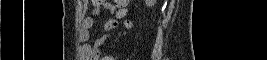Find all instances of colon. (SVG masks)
I'll list each match as a JSON object with an SVG mask.
<instances>
[{"label": "colon", "mask_w": 267, "mask_h": 60, "mask_svg": "<svg viewBox=\"0 0 267 60\" xmlns=\"http://www.w3.org/2000/svg\"><path fill=\"white\" fill-rule=\"evenodd\" d=\"M97 4L103 3L101 0L94 1ZM129 2V0H116L114 3L120 8V13L123 15L125 13L124 5H126ZM118 22L115 20L112 23V27L115 28L117 26Z\"/></svg>", "instance_id": "colon-1"}]
</instances>
